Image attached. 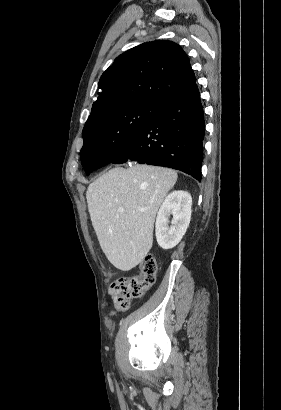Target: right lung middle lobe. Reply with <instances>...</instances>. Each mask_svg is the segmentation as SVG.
<instances>
[{"label": "right lung middle lobe", "mask_w": 281, "mask_h": 410, "mask_svg": "<svg viewBox=\"0 0 281 410\" xmlns=\"http://www.w3.org/2000/svg\"><path fill=\"white\" fill-rule=\"evenodd\" d=\"M158 107L133 104L106 108L90 117L83 129L82 166L91 171L112 163L138 137Z\"/></svg>", "instance_id": "obj_1"}]
</instances>
